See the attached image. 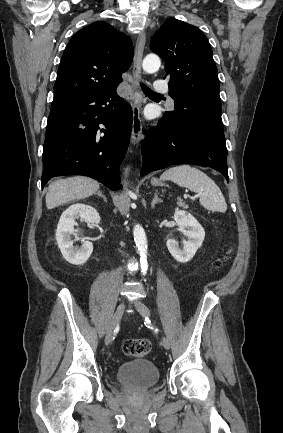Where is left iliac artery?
I'll return each instance as SVG.
<instances>
[{"label":"left iliac artery","mask_w":283,"mask_h":433,"mask_svg":"<svg viewBox=\"0 0 283 433\" xmlns=\"http://www.w3.org/2000/svg\"><path fill=\"white\" fill-rule=\"evenodd\" d=\"M145 321H146L147 323H150V322H151V321L149 320L148 317H145ZM156 331H157V329H156Z\"/></svg>","instance_id":"left-iliac-artery-1"}]
</instances>
